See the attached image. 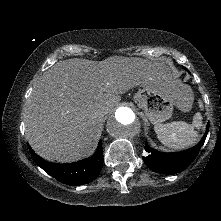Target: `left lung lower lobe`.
Returning <instances> with one entry per match:
<instances>
[{
  "label": "left lung lower lobe",
  "instance_id": "1",
  "mask_svg": "<svg viewBox=\"0 0 221 221\" xmlns=\"http://www.w3.org/2000/svg\"><path fill=\"white\" fill-rule=\"evenodd\" d=\"M209 131V124L206 127V132L198 145L181 152L163 153L153 150L149 145L145 144V150L150 154L143 157L144 163L151 170L162 174H175L185 170L195 159L199 153L206 136Z\"/></svg>",
  "mask_w": 221,
  "mask_h": 221
}]
</instances>
